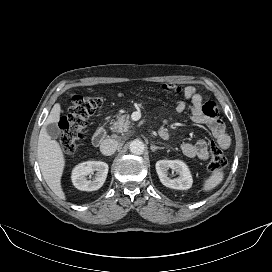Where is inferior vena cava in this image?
Returning a JSON list of instances; mask_svg holds the SVG:
<instances>
[{"label": "inferior vena cava", "mask_w": 272, "mask_h": 272, "mask_svg": "<svg viewBox=\"0 0 272 272\" xmlns=\"http://www.w3.org/2000/svg\"><path fill=\"white\" fill-rule=\"evenodd\" d=\"M118 147V142L115 139H105L100 145V151L105 156H110L115 153Z\"/></svg>", "instance_id": "obj_1"}]
</instances>
